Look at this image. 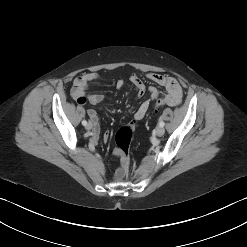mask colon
I'll use <instances>...</instances> for the list:
<instances>
[{"instance_id": "1", "label": "colon", "mask_w": 247, "mask_h": 247, "mask_svg": "<svg viewBox=\"0 0 247 247\" xmlns=\"http://www.w3.org/2000/svg\"><path fill=\"white\" fill-rule=\"evenodd\" d=\"M166 105H168V101L165 98L158 99L155 103V109L156 111H159ZM134 127V123L129 126L122 127L117 131L115 136V154L120 158L119 173L122 176L127 175L130 165L129 148L133 137Z\"/></svg>"}]
</instances>
